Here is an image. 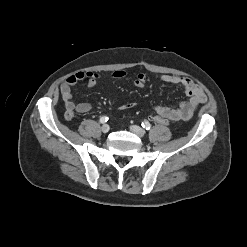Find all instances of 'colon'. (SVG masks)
I'll list each match as a JSON object with an SVG mask.
<instances>
[{
    "instance_id": "1",
    "label": "colon",
    "mask_w": 247,
    "mask_h": 247,
    "mask_svg": "<svg viewBox=\"0 0 247 247\" xmlns=\"http://www.w3.org/2000/svg\"><path fill=\"white\" fill-rule=\"evenodd\" d=\"M151 119H152L155 123H157V124H159V125H170V123H171V120H170L169 118L164 117V116L159 115V114L152 115V116H151Z\"/></svg>"
}]
</instances>
